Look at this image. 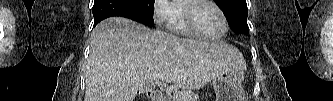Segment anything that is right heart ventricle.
<instances>
[{
	"label": "right heart ventricle",
	"instance_id": "right-heart-ventricle-1",
	"mask_svg": "<svg viewBox=\"0 0 333 101\" xmlns=\"http://www.w3.org/2000/svg\"><path fill=\"white\" fill-rule=\"evenodd\" d=\"M183 4L184 1H176L175 3V13L171 22V27L172 29L184 36H191L192 34L187 30L185 23H184V18H183Z\"/></svg>",
	"mask_w": 333,
	"mask_h": 101
}]
</instances>
